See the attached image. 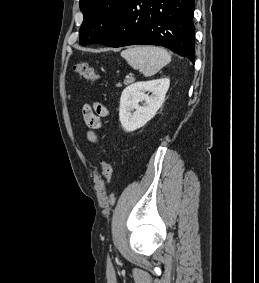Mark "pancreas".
I'll list each match as a JSON object with an SVG mask.
<instances>
[{"instance_id": "pancreas-1", "label": "pancreas", "mask_w": 259, "mask_h": 283, "mask_svg": "<svg viewBox=\"0 0 259 283\" xmlns=\"http://www.w3.org/2000/svg\"><path fill=\"white\" fill-rule=\"evenodd\" d=\"M134 81H135L134 78L129 77V78H126L123 83H124V85H129V84L133 83Z\"/></svg>"}]
</instances>
